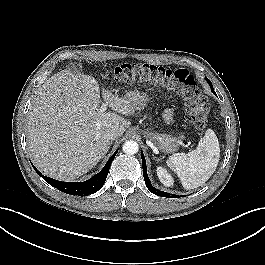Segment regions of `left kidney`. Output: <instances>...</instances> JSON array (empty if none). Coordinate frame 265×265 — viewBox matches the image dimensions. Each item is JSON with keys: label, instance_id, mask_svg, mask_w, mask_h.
<instances>
[{"label": "left kidney", "instance_id": "left-kidney-1", "mask_svg": "<svg viewBox=\"0 0 265 265\" xmlns=\"http://www.w3.org/2000/svg\"><path fill=\"white\" fill-rule=\"evenodd\" d=\"M157 175L161 183L167 187L173 185V179L171 175L162 167L157 168Z\"/></svg>", "mask_w": 265, "mask_h": 265}]
</instances>
